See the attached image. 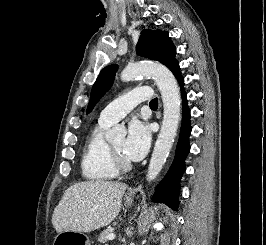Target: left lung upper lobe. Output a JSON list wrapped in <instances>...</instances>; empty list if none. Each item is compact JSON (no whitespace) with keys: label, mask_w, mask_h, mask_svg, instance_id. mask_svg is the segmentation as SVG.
Here are the masks:
<instances>
[{"label":"left lung upper lobe","mask_w":266,"mask_h":245,"mask_svg":"<svg viewBox=\"0 0 266 245\" xmlns=\"http://www.w3.org/2000/svg\"><path fill=\"white\" fill-rule=\"evenodd\" d=\"M136 49L138 55L159 61L169 69L177 62L175 59L176 48L167 31L142 30ZM117 69V65H110L100 72L92 87L87 113L91 111L102 95L110 88Z\"/></svg>","instance_id":"left-lung-upper-lobe-1"}]
</instances>
